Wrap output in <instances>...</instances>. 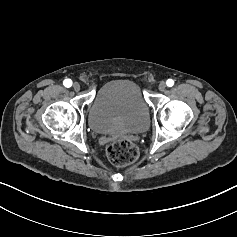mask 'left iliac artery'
Instances as JSON below:
<instances>
[{
    "mask_svg": "<svg viewBox=\"0 0 237 237\" xmlns=\"http://www.w3.org/2000/svg\"><path fill=\"white\" fill-rule=\"evenodd\" d=\"M166 84H167L168 87H172L174 85V81L172 79H168L166 81Z\"/></svg>",
    "mask_w": 237,
    "mask_h": 237,
    "instance_id": "44dca946",
    "label": "left iliac artery"
}]
</instances>
